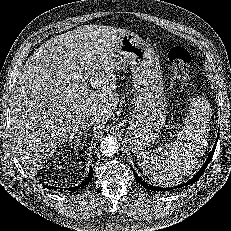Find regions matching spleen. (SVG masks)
<instances>
[{
	"label": "spleen",
	"mask_w": 231,
	"mask_h": 231,
	"mask_svg": "<svg viewBox=\"0 0 231 231\" xmlns=\"http://www.w3.org/2000/svg\"><path fill=\"white\" fill-rule=\"evenodd\" d=\"M209 113L195 99L189 106L185 127L177 140L156 152L141 151L138 164L151 181L161 186H174L189 176L203 156L209 135Z\"/></svg>",
	"instance_id": "3e777b00"
}]
</instances>
